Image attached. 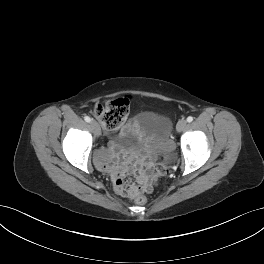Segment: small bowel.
I'll return each mask as SVG.
<instances>
[{
	"mask_svg": "<svg viewBox=\"0 0 264 264\" xmlns=\"http://www.w3.org/2000/svg\"><path fill=\"white\" fill-rule=\"evenodd\" d=\"M132 124H133V122H129L128 126H131ZM101 155L104 156L105 155V151H102ZM99 166L102 167V168L104 167V165L102 163H99ZM110 168H111V170L113 172V175H114V187H115V190L119 193V185H118L117 180L120 177L125 175L126 165H125V163L122 160H116L110 165Z\"/></svg>",
	"mask_w": 264,
	"mask_h": 264,
	"instance_id": "1",
	"label": "small bowel"
}]
</instances>
